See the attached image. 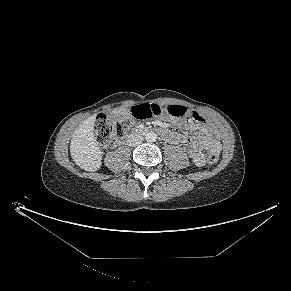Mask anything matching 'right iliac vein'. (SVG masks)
Wrapping results in <instances>:
<instances>
[{"instance_id":"1","label":"right iliac vein","mask_w":291,"mask_h":291,"mask_svg":"<svg viewBox=\"0 0 291 291\" xmlns=\"http://www.w3.org/2000/svg\"><path fill=\"white\" fill-rule=\"evenodd\" d=\"M131 144L134 145V141L133 140L131 141Z\"/></svg>"}]
</instances>
